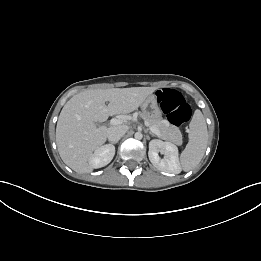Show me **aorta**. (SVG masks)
Here are the masks:
<instances>
[{
	"label": "aorta",
	"mask_w": 261,
	"mask_h": 261,
	"mask_svg": "<svg viewBox=\"0 0 261 261\" xmlns=\"http://www.w3.org/2000/svg\"><path fill=\"white\" fill-rule=\"evenodd\" d=\"M134 136L136 139H139V140L142 139V137H143L141 132H136Z\"/></svg>",
	"instance_id": "1"
}]
</instances>
